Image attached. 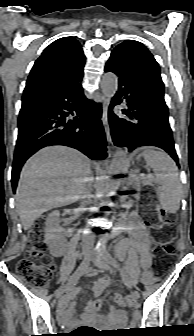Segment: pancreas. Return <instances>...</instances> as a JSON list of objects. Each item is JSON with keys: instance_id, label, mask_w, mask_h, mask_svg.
Returning <instances> with one entry per match:
<instances>
[{"instance_id": "1", "label": "pancreas", "mask_w": 194, "mask_h": 336, "mask_svg": "<svg viewBox=\"0 0 194 336\" xmlns=\"http://www.w3.org/2000/svg\"><path fill=\"white\" fill-rule=\"evenodd\" d=\"M155 177L152 176H147V177H139L136 179L135 185L140 187L141 185H151L155 181Z\"/></svg>"}]
</instances>
